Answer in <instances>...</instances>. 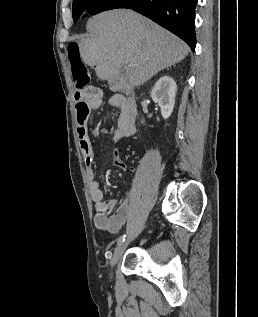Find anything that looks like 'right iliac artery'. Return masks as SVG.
<instances>
[{"mask_svg":"<svg viewBox=\"0 0 258 317\" xmlns=\"http://www.w3.org/2000/svg\"><path fill=\"white\" fill-rule=\"evenodd\" d=\"M125 237H126V234H123L122 236H120L118 239L117 245H120L121 243H123L125 241Z\"/></svg>","mask_w":258,"mask_h":317,"instance_id":"82829eb1","label":"right iliac artery"}]
</instances>
